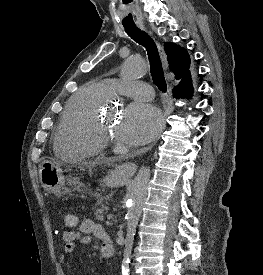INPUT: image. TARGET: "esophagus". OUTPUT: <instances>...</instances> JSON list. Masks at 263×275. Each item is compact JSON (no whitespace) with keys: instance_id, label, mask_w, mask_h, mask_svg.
I'll use <instances>...</instances> for the list:
<instances>
[{"instance_id":"esophagus-1","label":"esophagus","mask_w":263,"mask_h":275,"mask_svg":"<svg viewBox=\"0 0 263 275\" xmlns=\"http://www.w3.org/2000/svg\"><path fill=\"white\" fill-rule=\"evenodd\" d=\"M157 47H158L161 59L164 63V66L167 68L165 52H164L162 46L158 42H157ZM167 95H168V97H170V95H171L170 88L168 89ZM166 116H167V113H166V111H164V113H163V129L165 128V125H166ZM158 138H157V140H158ZM155 143H156V141L143 150L146 151V150L151 149L155 145ZM136 169H137V166L133 162H125L119 166V170L127 176H133L134 173L136 172Z\"/></svg>"}]
</instances>
